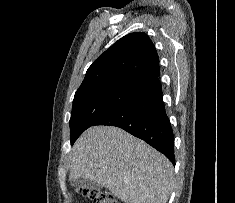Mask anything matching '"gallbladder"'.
Segmentation results:
<instances>
[{"label": "gallbladder", "mask_w": 235, "mask_h": 203, "mask_svg": "<svg viewBox=\"0 0 235 203\" xmlns=\"http://www.w3.org/2000/svg\"><path fill=\"white\" fill-rule=\"evenodd\" d=\"M72 185L78 188H88V189H98L101 185L98 182L90 181L88 179H74L72 180Z\"/></svg>", "instance_id": "bac80fb5"}]
</instances>
